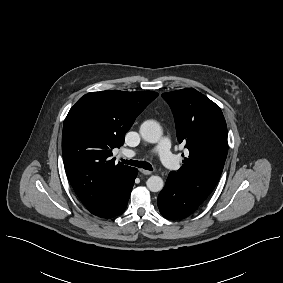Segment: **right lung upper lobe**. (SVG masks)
<instances>
[{
  "label": "right lung upper lobe",
  "mask_w": 283,
  "mask_h": 283,
  "mask_svg": "<svg viewBox=\"0 0 283 283\" xmlns=\"http://www.w3.org/2000/svg\"><path fill=\"white\" fill-rule=\"evenodd\" d=\"M157 96L153 91L90 92L70 109L62 133L64 167L77 196L92 214L108 203L116 184L133 170L115 164L112 149L123 145L136 117Z\"/></svg>",
  "instance_id": "1"
}]
</instances>
